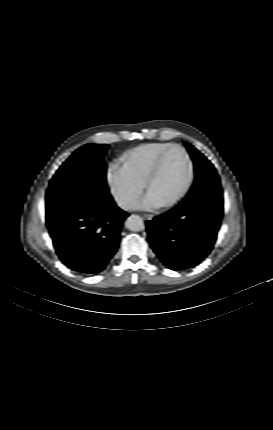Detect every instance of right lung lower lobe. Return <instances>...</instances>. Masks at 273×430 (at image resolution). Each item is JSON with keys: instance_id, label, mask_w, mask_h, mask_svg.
<instances>
[{"instance_id": "1", "label": "right lung lower lobe", "mask_w": 273, "mask_h": 430, "mask_svg": "<svg viewBox=\"0 0 273 430\" xmlns=\"http://www.w3.org/2000/svg\"><path fill=\"white\" fill-rule=\"evenodd\" d=\"M128 213L110 197L84 199L46 213L55 250L68 268L85 275L103 271L116 253Z\"/></svg>"}]
</instances>
